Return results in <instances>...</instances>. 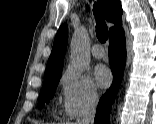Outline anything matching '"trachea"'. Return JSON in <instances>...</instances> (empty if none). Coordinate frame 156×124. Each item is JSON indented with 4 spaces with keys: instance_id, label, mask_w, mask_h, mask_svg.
<instances>
[{
    "instance_id": "obj_1",
    "label": "trachea",
    "mask_w": 156,
    "mask_h": 124,
    "mask_svg": "<svg viewBox=\"0 0 156 124\" xmlns=\"http://www.w3.org/2000/svg\"><path fill=\"white\" fill-rule=\"evenodd\" d=\"M94 15L96 19V35L100 42H105L108 39V28L104 18L100 12L98 5L94 4Z\"/></svg>"
}]
</instances>
